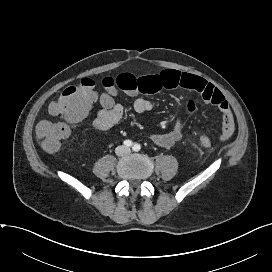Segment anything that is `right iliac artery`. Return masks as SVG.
I'll return each mask as SVG.
<instances>
[{
    "mask_svg": "<svg viewBox=\"0 0 272 272\" xmlns=\"http://www.w3.org/2000/svg\"><path fill=\"white\" fill-rule=\"evenodd\" d=\"M123 143L127 147H131L133 145V142L131 140H125Z\"/></svg>",
    "mask_w": 272,
    "mask_h": 272,
    "instance_id": "82829eb1",
    "label": "right iliac artery"
}]
</instances>
